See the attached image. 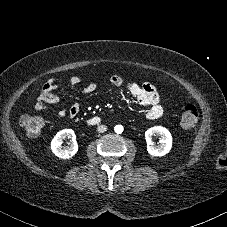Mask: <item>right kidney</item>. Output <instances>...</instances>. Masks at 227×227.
Listing matches in <instances>:
<instances>
[{"instance_id": "ca27d5eb", "label": "right kidney", "mask_w": 227, "mask_h": 227, "mask_svg": "<svg viewBox=\"0 0 227 227\" xmlns=\"http://www.w3.org/2000/svg\"><path fill=\"white\" fill-rule=\"evenodd\" d=\"M70 138L72 144L70 147L62 146L63 140ZM51 150L59 158L69 159L78 151L75 132L72 129H64L59 131L51 141Z\"/></svg>"}]
</instances>
